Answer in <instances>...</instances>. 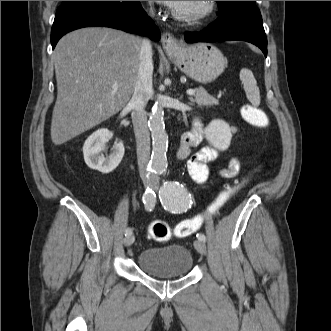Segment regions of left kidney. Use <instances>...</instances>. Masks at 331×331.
Instances as JSON below:
<instances>
[{
    "instance_id": "obj_1",
    "label": "left kidney",
    "mask_w": 331,
    "mask_h": 331,
    "mask_svg": "<svg viewBox=\"0 0 331 331\" xmlns=\"http://www.w3.org/2000/svg\"><path fill=\"white\" fill-rule=\"evenodd\" d=\"M206 140L219 150H226L230 146L232 129L222 120H213L205 128Z\"/></svg>"
}]
</instances>
